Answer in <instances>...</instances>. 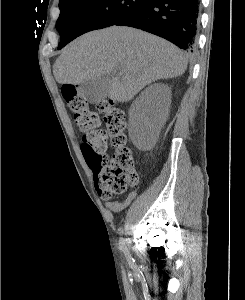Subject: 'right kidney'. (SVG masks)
<instances>
[{
    "label": "right kidney",
    "instance_id": "ca27d5eb",
    "mask_svg": "<svg viewBox=\"0 0 245 300\" xmlns=\"http://www.w3.org/2000/svg\"><path fill=\"white\" fill-rule=\"evenodd\" d=\"M171 90L156 83L146 88L129 109V137L139 150L151 149L166 122Z\"/></svg>",
    "mask_w": 245,
    "mask_h": 300
}]
</instances>
